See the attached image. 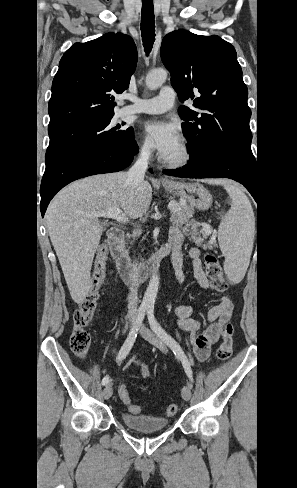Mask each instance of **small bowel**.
I'll list each match as a JSON object with an SVG mask.
<instances>
[{"instance_id":"1","label":"small bowel","mask_w":297,"mask_h":488,"mask_svg":"<svg viewBox=\"0 0 297 488\" xmlns=\"http://www.w3.org/2000/svg\"><path fill=\"white\" fill-rule=\"evenodd\" d=\"M184 239V234L178 228H172L166 243L171 248L172 264L176 278L180 284H184L187 278L184 271V258L182 254ZM200 255L201 251L198 247H191L188 250V258L191 261L193 275L197 283L201 288L208 289L210 282L203 270ZM232 309V300L228 294L224 293L219 303L208 311L207 322L202 329V323L194 317L195 310L192 306L179 305L175 307L174 315L177 319V325L180 329L189 332L191 344L198 360L204 361L209 357L212 346L219 339L221 326L229 321ZM132 365L137 367L143 378L152 379L151 371L140 358H131L127 366ZM128 378L138 381V377L136 376ZM125 380L126 378H123L121 382H125Z\"/></svg>"}]
</instances>
